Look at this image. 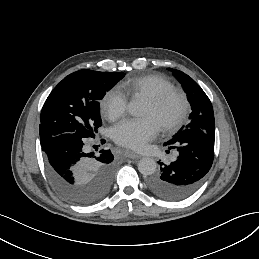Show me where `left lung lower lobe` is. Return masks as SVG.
<instances>
[{
    "mask_svg": "<svg viewBox=\"0 0 259 259\" xmlns=\"http://www.w3.org/2000/svg\"><path fill=\"white\" fill-rule=\"evenodd\" d=\"M214 132L205 129L182 131L173 145L178 158L169 165L160 163V173L148 179L149 190L164 200L181 201L194 194L210 170L214 158Z\"/></svg>",
    "mask_w": 259,
    "mask_h": 259,
    "instance_id": "1",
    "label": "left lung lower lobe"
}]
</instances>
